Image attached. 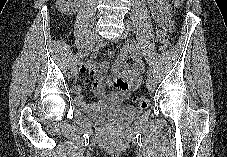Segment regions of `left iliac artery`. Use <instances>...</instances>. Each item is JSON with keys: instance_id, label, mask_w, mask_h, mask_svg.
<instances>
[{"instance_id": "left-iliac-artery-1", "label": "left iliac artery", "mask_w": 227, "mask_h": 157, "mask_svg": "<svg viewBox=\"0 0 227 157\" xmlns=\"http://www.w3.org/2000/svg\"><path fill=\"white\" fill-rule=\"evenodd\" d=\"M129 30L136 31V30H137V27H136V26H133V27H132V25L129 24ZM147 76H148V77H152L151 69H148V70H147Z\"/></svg>"}]
</instances>
